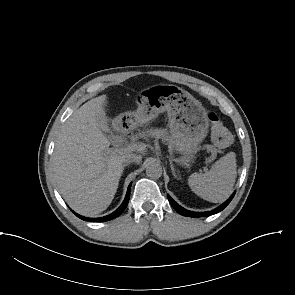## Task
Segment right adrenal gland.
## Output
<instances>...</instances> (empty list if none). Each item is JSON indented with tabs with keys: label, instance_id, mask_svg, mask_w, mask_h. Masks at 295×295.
<instances>
[{
	"label": "right adrenal gland",
	"instance_id": "right-adrenal-gland-1",
	"mask_svg": "<svg viewBox=\"0 0 295 295\" xmlns=\"http://www.w3.org/2000/svg\"><path fill=\"white\" fill-rule=\"evenodd\" d=\"M128 165H129L128 163L124 164V165H123V169H124V167H126V166H128Z\"/></svg>",
	"mask_w": 295,
	"mask_h": 295
}]
</instances>
